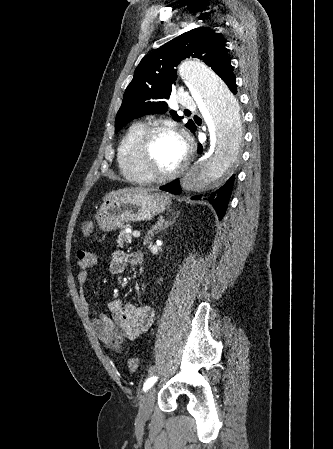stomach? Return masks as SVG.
I'll return each instance as SVG.
<instances>
[{"instance_id": "1", "label": "stomach", "mask_w": 333, "mask_h": 449, "mask_svg": "<svg viewBox=\"0 0 333 449\" xmlns=\"http://www.w3.org/2000/svg\"><path fill=\"white\" fill-rule=\"evenodd\" d=\"M170 197L158 192H135L105 200L97 212L96 220L101 230L112 231L135 221L150 220L165 211Z\"/></svg>"}]
</instances>
